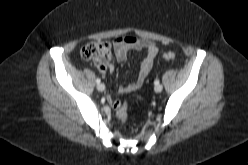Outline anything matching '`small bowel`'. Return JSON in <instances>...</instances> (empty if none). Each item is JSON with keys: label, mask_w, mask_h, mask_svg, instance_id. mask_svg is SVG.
<instances>
[{"label": "small bowel", "mask_w": 248, "mask_h": 165, "mask_svg": "<svg viewBox=\"0 0 248 165\" xmlns=\"http://www.w3.org/2000/svg\"><path fill=\"white\" fill-rule=\"evenodd\" d=\"M113 48L115 58L118 62L126 61L129 49L144 50L146 52L136 79L128 85L121 86L118 92L123 94L137 90L153 67L155 57L158 53L157 45L148 39L126 36L117 38L113 42ZM101 73H105V71L101 70Z\"/></svg>", "instance_id": "1"}]
</instances>
